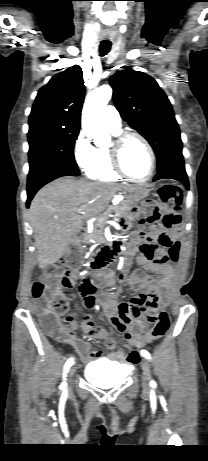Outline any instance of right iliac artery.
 Returning a JSON list of instances; mask_svg holds the SVG:
<instances>
[{
  "instance_id": "82829eb1",
  "label": "right iliac artery",
  "mask_w": 208,
  "mask_h": 461,
  "mask_svg": "<svg viewBox=\"0 0 208 461\" xmlns=\"http://www.w3.org/2000/svg\"><path fill=\"white\" fill-rule=\"evenodd\" d=\"M73 364V358H70L68 359V361L66 362L65 366H64V374H63V378L65 379L66 377V373L68 372L70 366ZM67 386L66 382H62V384L60 385V388L61 389H64L65 387Z\"/></svg>"
}]
</instances>
